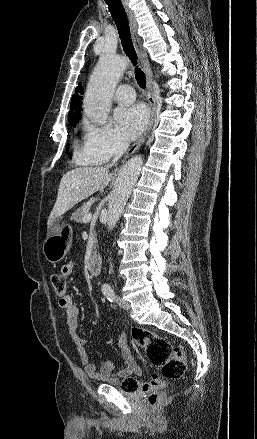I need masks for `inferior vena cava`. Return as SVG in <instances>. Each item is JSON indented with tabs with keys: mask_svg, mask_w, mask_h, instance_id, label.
I'll list each match as a JSON object with an SVG mask.
<instances>
[{
	"mask_svg": "<svg viewBox=\"0 0 257 439\" xmlns=\"http://www.w3.org/2000/svg\"><path fill=\"white\" fill-rule=\"evenodd\" d=\"M129 147V141L126 139H120L117 141L114 147L113 164L125 153Z\"/></svg>",
	"mask_w": 257,
	"mask_h": 439,
	"instance_id": "obj_1",
	"label": "inferior vena cava"
}]
</instances>
